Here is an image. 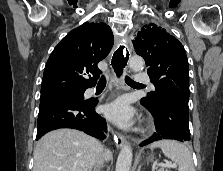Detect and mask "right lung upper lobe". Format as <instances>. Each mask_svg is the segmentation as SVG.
Segmentation results:
<instances>
[{
    "instance_id": "cb5924a9",
    "label": "right lung upper lobe",
    "mask_w": 223,
    "mask_h": 171,
    "mask_svg": "<svg viewBox=\"0 0 223 171\" xmlns=\"http://www.w3.org/2000/svg\"><path fill=\"white\" fill-rule=\"evenodd\" d=\"M113 42L112 31L105 23L85 22L70 31L47 61L40 99L94 86L101 73L97 64L109 54ZM87 74L93 77L87 78Z\"/></svg>"
}]
</instances>
